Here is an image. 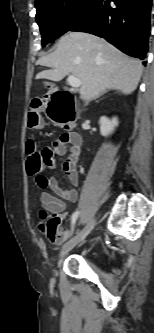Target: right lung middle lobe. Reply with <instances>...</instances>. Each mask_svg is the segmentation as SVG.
<instances>
[{
    "mask_svg": "<svg viewBox=\"0 0 154 333\" xmlns=\"http://www.w3.org/2000/svg\"><path fill=\"white\" fill-rule=\"evenodd\" d=\"M99 0H40L36 21L43 45L53 42L89 16Z\"/></svg>",
    "mask_w": 154,
    "mask_h": 333,
    "instance_id": "obj_1",
    "label": "right lung middle lobe"
}]
</instances>
